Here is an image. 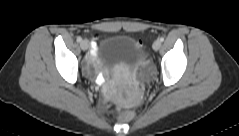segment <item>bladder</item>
<instances>
[{
  "instance_id": "bladder-1",
  "label": "bladder",
  "mask_w": 239,
  "mask_h": 136,
  "mask_svg": "<svg viewBox=\"0 0 239 136\" xmlns=\"http://www.w3.org/2000/svg\"><path fill=\"white\" fill-rule=\"evenodd\" d=\"M145 61V49L135 38L129 35H117L107 38L96 58L100 70L111 75L117 66H124L132 76L144 65Z\"/></svg>"
}]
</instances>
